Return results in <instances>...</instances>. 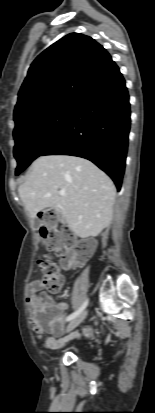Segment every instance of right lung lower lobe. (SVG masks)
Instances as JSON below:
<instances>
[{"instance_id":"98d812e1","label":"right lung lower lobe","mask_w":155,"mask_h":413,"mask_svg":"<svg viewBox=\"0 0 155 413\" xmlns=\"http://www.w3.org/2000/svg\"><path fill=\"white\" fill-rule=\"evenodd\" d=\"M130 122L129 95L119 71L76 104L63 133L41 155L86 158L120 190Z\"/></svg>"}]
</instances>
